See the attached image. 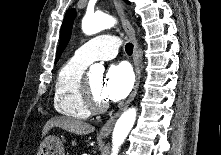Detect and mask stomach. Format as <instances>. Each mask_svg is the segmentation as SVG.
Returning <instances> with one entry per match:
<instances>
[{
    "instance_id": "stomach-1",
    "label": "stomach",
    "mask_w": 221,
    "mask_h": 155,
    "mask_svg": "<svg viewBox=\"0 0 221 155\" xmlns=\"http://www.w3.org/2000/svg\"><path fill=\"white\" fill-rule=\"evenodd\" d=\"M37 155H64L63 142L56 136H48L41 143Z\"/></svg>"
}]
</instances>
